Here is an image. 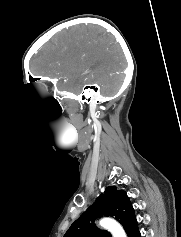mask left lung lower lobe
<instances>
[{
  "mask_svg": "<svg viewBox=\"0 0 181 237\" xmlns=\"http://www.w3.org/2000/svg\"><path fill=\"white\" fill-rule=\"evenodd\" d=\"M135 237H141L140 232H138V233L135 235Z\"/></svg>",
  "mask_w": 181,
  "mask_h": 237,
  "instance_id": "0a47b994",
  "label": "left lung lower lobe"
}]
</instances>
